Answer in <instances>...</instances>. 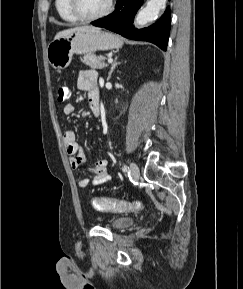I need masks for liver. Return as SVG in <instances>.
Segmentation results:
<instances>
[{
    "mask_svg": "<svg viewBox=\"0 0 243 289\" xmlns=\"http://www.w3.org/2000/svg\"><path fill=\"white\" fill-rule=\"evenodd\" d=\"M82 27H75V28H71V29H66V30H63V31H60L58 32L56 35H55V38L54 39H59L61 37H64L66 36L67 34H69L70 32L74 31V30H77V29H80ZM86 28H92V29H95V27H86Z\"/></svg>",
    "mask_w": 243,
    "mask_h": 289,
    "instance_id": "obj_1",
    "label": "liver"
}]
</instances>
